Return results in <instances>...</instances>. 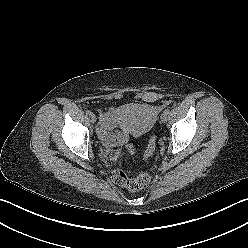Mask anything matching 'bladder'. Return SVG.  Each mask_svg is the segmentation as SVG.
Here are the masks:
<instances>
[{"instance_id":"bladder-1","label":"bladder","mask_w":248,"mask_h":248,"mask_svg":"<svg viewBox=\"0 0 248 248\" xmlns=\"http://www.w3.org/2000/svg\"><path fill=\"white\" fill-rule=\"evenodd\" d=\"M119 125L141 136L153 129L157 114L150 104L128 103L117 108L115 113Z\"/></svg>"}]
</instances>
